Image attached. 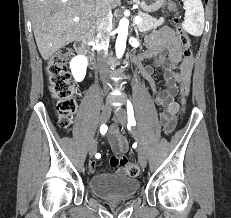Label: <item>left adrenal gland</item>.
I'll return each instance as SVG.
<instances>
[{"instance_id": "left-adrenal-gland-1", "label": "left adrenal gland", "mask_w": 231, "mask_h": 218, "mask_svg": "<svg viewBox=\"0 0 231 218\" xmlns=\"http://www.w3.org/2000/svg\"><path fill=\"white\" fill-rule=\"evenodd\" d=\"M134 30H135L137 37H139V33H138V30H137V27L135 26V24H134Z\"/></svg>"}]
</instances>
